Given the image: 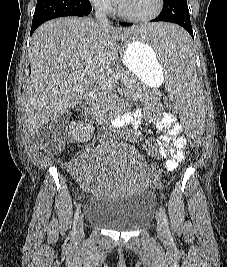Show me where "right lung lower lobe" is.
<instances>
[{
	"mask_svg": "<svg viewBox=\"0 0 227 267\" xmlns=\"http://www.w3.org/2000/svg\"><path fill=\"white\" fill-rule=\"evenodd\" d=\"M91 11L89 0H37L30 35L48 20L63 16H85Z\"/></svg>",
	"mask_w": 227,
	"mask_h": 267,
	"instance_id": "right-lung-lower-lobe-1",
	"label": "right lung lower lobe"
}]
</instances>
